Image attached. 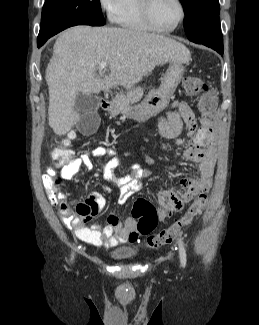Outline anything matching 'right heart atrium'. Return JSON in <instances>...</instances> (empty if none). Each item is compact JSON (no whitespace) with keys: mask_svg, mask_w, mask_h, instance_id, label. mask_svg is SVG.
<instances>
[{"mask_svg":"<svg viewBox=\"0 0 259 325\" xmlns=\"http://www.w3.org/2000/svg\"><path fill=\"white\" fill-rule=\"evenodd\" d=\"M98 3L108 18L114 19L119 10L121 0H98Z\"/></svg>","mask_w":259,"mask_h":325,"instance_id":"obj_1","label":"right heart atrium"}]
</instances>
